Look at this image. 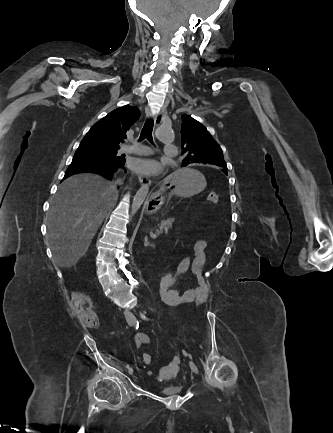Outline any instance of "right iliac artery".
Masks as SVG:
<instances>
[{
  "label": "right iliac artery",
  "instance_id": "1",
  "mask_svg": "<svg viewBox=\"0 0 333 433\" xmlns=\"http://www.w3.org/2000/svg\"><path fill=\"white\" fill-rule=\"evenodd\" d=\"M138 327H139V324L137 323V325H136V329H138ZM126 368H127V369H130V365L127 364V365H126Z\"/></svg>",
  "mask_w": 333,
  "mask_h": 433
}]
</instances>
